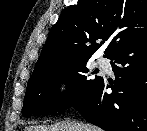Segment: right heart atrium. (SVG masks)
<instances>
[{"label":"right heart atrium","mask_w":147,"mask_h":131,"mask_svg":"<svg viewBox=\"0 0 147 131\" xmlns=\"http://www.w3.org/2000/svg\"><path fill=\"white\" fill-rule=\"evenodd\" d=\"M74 87V78L68 72L59 74L55 77V79L52 82V91L54 97L56 98V100L61 102L69 98V96L72 94L74 90Z\"/></svg>","instance_id":"d8ad5b80"}]
</instances>
